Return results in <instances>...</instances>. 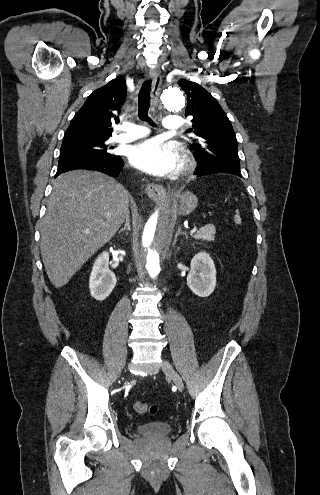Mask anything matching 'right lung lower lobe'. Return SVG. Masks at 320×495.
I'll use <instances>...</instances> for the list:
<instances>
[{"instance_id": "1", "label": "right lung lower lobe", "mask_w": 320, "mask_h": 495, "mask_svg": "<svg viewBox=\"0 0 320 495\" xmlns=\"http://www.w3.org/2000/svg\"><path fill=\"white\" fill-rule=\"evenodd\" d=\"M124 162L121 156L114 155L107 158L93 157H66L59 159L56 176L69 170L86 169L105 173L109 176H119Z\"/></svg>"}]
</instances>
